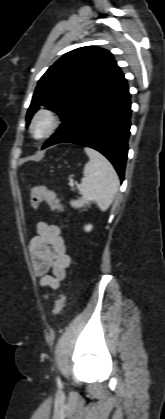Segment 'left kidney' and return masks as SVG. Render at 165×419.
I'll list each match as a JSON object with an SVG mask.
<instances>
[{"label": "left kidney", "mask_w": 165, "mask_h": 419, "mask_svg": "<svg viewBox=\"0 0 165 419\" xmlns=\"http://www.w3.org/2000/svg\"><path fill=\"white\" fill-rule=\"evenodd\" d=\"M92 229V226L91 225H87V226H85V230L86 231H90Z\"/></svg>", "instance_id": "1"}]
</instances>
